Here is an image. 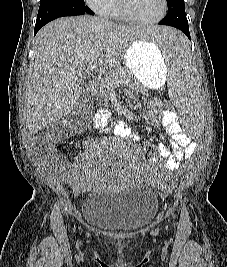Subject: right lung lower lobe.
I'll list each match as a JSON object with an SVG mask.
<instances>
[{"mask_svg":"<svg viewBox=\"0 0 227 267\" xmlns=\"http://www.w3.org/2000/svg\"><path fill=\"white\" fill-rule=\"evenodd\" d=\"M94 13L87 7H69V6H40L35 24L34 35L48 22L64 16H77Z\"/></svg>","mask_w":227,"mask_h":267,"instance_id":"right-lung-lower-lobe-1","label":"right lung lower lobe"}]
</instances>
